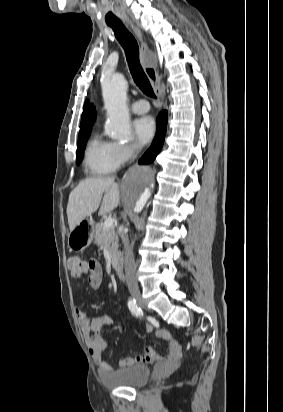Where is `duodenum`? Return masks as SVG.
I'll return each mask as SVG.
<instances>
[{"mask_svg":"<svg viewBox=\"0 0 283 412\" xmlns=\"http://www.w3.org/2000/svg\"><path fill=\"white\" fill-rule=\"evenodd\" d=\"M112 262H113L112 263L113 269H114L116 275L118 276L119 279H122L123 278V271H124L122 257L121 256H116V257L113 258Z\"/></svg>","mask_w":283,"mask_h":412,"instance_id":"duodenum-1","label":"duodenum"}]
</instances>
